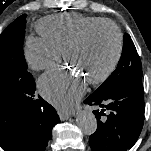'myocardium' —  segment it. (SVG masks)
Listing matches in <instances>:
<instances>
[{
    "instance_id": "1",
    "label": "myocardium",
    "mask_w": 151,
    "mask_h": 151,
    "mask_svg": "<svg viewBox=\"0 0 151 151\" xmlns=\"http://www.w3.org/2000/svg\"><path fill=\"white\" fill-rule=\"evenodd\" d=\"M103 27H109L114 32L116 38V51L110 65L105 69V71L99 76L89 80L91 84H99L106 81L117 68L123 52V36L120 28L110 20L96 22L88 26L77 37L71 40L63 50L64 59L68 61L69 53L71 51L83 45L92 32Z\"/></svg>"
}]
</instances>
